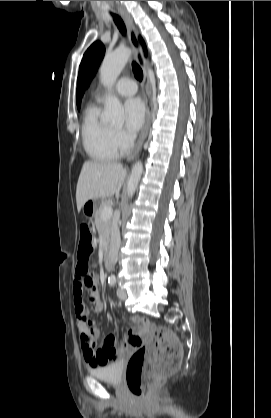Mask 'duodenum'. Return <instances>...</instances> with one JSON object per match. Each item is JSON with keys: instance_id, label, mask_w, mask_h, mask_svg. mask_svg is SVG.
I'll return each mask as SVG.
<instances>
[{"instance_id": "410a0bca", "label": "duodenum", "mask_w": 271, "mask_h": 418, "mask_svg": "<svg viewBox=\"0 0 271 418\" xmlns=\"http://www.w3.org/2000/svg\"><path fill=\"white\" fill-rule=\"evenodd\" d=\"M112 265V252L111 250L106 251L105 257H104V267L105 269L109 270Z\"/></svg>"}]
</instances>
